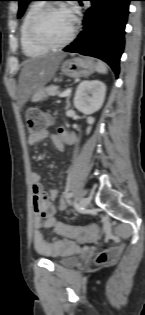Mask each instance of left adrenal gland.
<instances>
[{"instance_id":"a2214340","label":"left adrenal gland","mask_w":145,"mask_h":315,"mask_svg":"<svg viewBox=\"0 0 145 315\" xmlns=\"http://www.w3.org/2000/svg\"><path fill=\"white\" fill-rule=\"evenodd\" d=\"M70 97H71V93L68 95L67 100H66V102H67L66 109H69V107H70Z\"/></svg>"}]
</instances>
